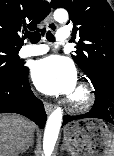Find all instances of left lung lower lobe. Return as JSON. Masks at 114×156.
Instances as JSON below:
<instances>
[{"label":"left lung lower lobe","instance_id":"left-lung-lower-lobe-1","mask_svg":"<svg viewBox=\"0 0 114 156\" xmlns=\"http://www.w3.org/2000/svg\"><path fill=\"white\" fill-rule=\"evenodd\" d=\"M95 88V103L86 114L64 116L63 124L83 118H98L114 124V79H105L93 84Z\"/></svg>","mask_w":114,"mask_h":156}]
</instances>
